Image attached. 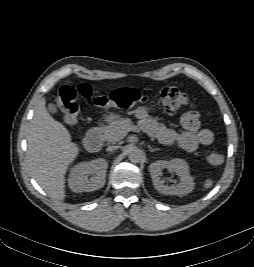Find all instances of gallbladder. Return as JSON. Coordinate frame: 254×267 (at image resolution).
<instances>
[{
    "mask_svg": "<svg viewBox=\"0 0 254 267\" xmlns=\"http://www.w3.org/2000/svg\"><path fill=\"white\" fill-rule=\"evenodd\" d=\"M47 109L52 114H55V113L58 112L57 106L55 104H53V103L48 104Z\"/></svg>",
    "mask_w": 254,
    "mask_h": 267,
    "instance_id": "1",
    "label": "gallbladder"
}]
</instances>
